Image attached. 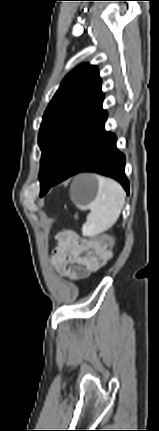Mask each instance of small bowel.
I'll return each instance as SVG.
<instances>
[{
    "instance_id": "1",
    "label": "small bowel",
    "mask_w": 159,
    "mask_h": 431,
    "mask_svg": "<svg viewBox=\"0 0 159 431\" xmlns=\"http://www.w3.org/2000/svg\"><path fill=\"white\" fill-rule=\"evenodd\" d=\"M107 240H87L71 230L56 235L52 262L57 271L70 280H83L98 271L111 258Z\"/></svg>"
}]
</instances>
